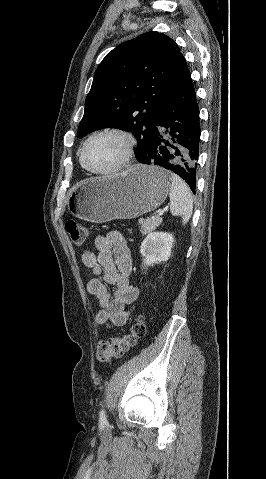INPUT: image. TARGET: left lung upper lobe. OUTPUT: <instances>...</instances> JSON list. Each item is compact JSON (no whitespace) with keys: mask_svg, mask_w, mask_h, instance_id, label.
<instances>
[{"mask_svg":"<svg viewBox=\"0 0 266 479\" xmlns=\"http://www.w3.org/2000/svg\"><path fill=\"white\" fill-rule=\"evenodd\" d=\"M188 73L178 45L162 33L147 32L118 45L96 69L78 137L108 127L131 131L141 162L161 109Z\"/></svg>","mask_w":266,"mask_h":479,"instance_id":"left-lung-upper-lobe-1","label":"left lung upper lobe"}]
</instances>
